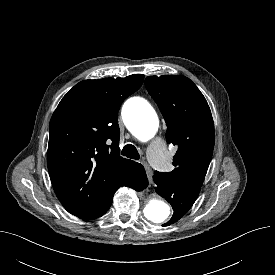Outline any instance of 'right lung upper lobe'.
Segmentation results:
<instances>
[{
	"mask_svg": "<svg viewBox=\"0 0 275 275\" xmlns=\"http://www.w3.org/2000/svg\"><path fill=\"white\" fill-rule=\"evenodd\" d=\"M144 75L84 80L60 101L49 125L47 164L65 209L96 218L138 163L120 156L118 111Z\"/></svg>",
	"mask_w": 275,
	"mask_h": 275,
	"instance_id": "cb5924a9",
	"label": "right lung upper lobe"
}]
</instances>
